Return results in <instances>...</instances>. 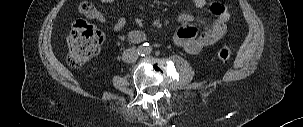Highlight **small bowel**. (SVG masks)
I'll return each instance as SVG.
<instances>
[{
	"instance_id": "small-bowel-1",
	"label": "small bowel",
	"mask_w": 303,
	"mask_h": 127,
	"mask_svg": "<svg viewBox=\"0 0 303 127\" xmlns=\"http://www.w3.org/2000/svg\"><path fill=\"white\" fill-rule=\"evenodd\" d=\"M101 2L110 3L114 0H100ZM88 17L92 20H95L101 24H107V18L104 13L96 8L92 9L88 13ZM227 18L226 13H222L220 18L215 19L211 22L210 28L202 33H199L198 29L193 25H187L181 29L184 33L180 37L181 44L190 52L199 51L204 45L214 42L219 39L224 31V20ZM137 22L140 23L141 20L137 19ZM126 26L125 18H118L111 24V29L114 32L122 31ZM129 40L134 43L142 42L145 38V33L139 29H133L129 32Z\"/></svg>"
}]
</instances>
